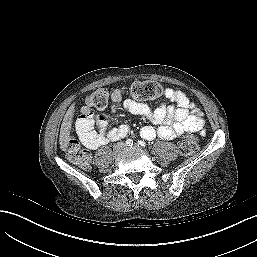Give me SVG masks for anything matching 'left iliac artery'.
<instances>
[{"instance_id": "left-iliac-artery-1", "label": "left iliac artery", "mask_w": 257, "mask_h": 257, "mask_svg": "<svg viewBox=\"0 0 257 257\" xmlns=\"http://www.w3.org/2000/svg\"><path fill=\"white\" fill-rule=\"evenodd\" d=\"M138 146L145 147L146 143L143 141H138Z\"/></svg>"}]
</instances>
